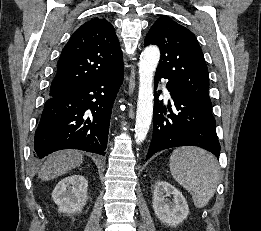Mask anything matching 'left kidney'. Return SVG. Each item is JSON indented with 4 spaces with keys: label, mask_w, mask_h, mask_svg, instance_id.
Here are the masks:
<instances>
[{
    "label": "left kidney",
    "mask_w": 261,
    "mask_h": 231,
    "mask_svg": "<svg viewBox=\"0 0 261 231\" xmlns=\"http://www.w3.org/2000/svg\"><path fill=\"white\" fill-rule=\"evenodd\" d=\"M173 196L172 202L165 197ZM153 209L158 219L169 226H177L189 214L188 204L182 193L166 181H159L153 192Z\"/></svg>",
    "instance_id": "left-kidney-1"
}]
</instances>
